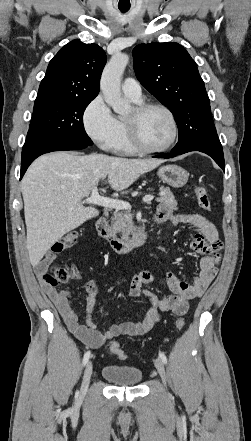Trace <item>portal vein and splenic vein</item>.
I'll use <instances>...</instances> for the list:
<instances>
[{
  "label": "portal vein and splenic vein",
  "mask_w": 251,
  "mask_h": 441,
  "mask_svg": "<svg viewBox=\"0 0 251 441\" xmlns=\"http://www.w3.org/2000/svg\"><path fill=\"white\" fill-rule=\"evenodd\" d=\"M154 199L153 195H146L143 197V201L146 203L151 202ZM83 203L95 204L105 208H113L116 210H130L131 205L128 202L116 199H110L107 197L100 196L97 187L92 189L91 196L86 198Z\"/></svg>",
  "instance_id": "obj_1"
}]
</instances>
